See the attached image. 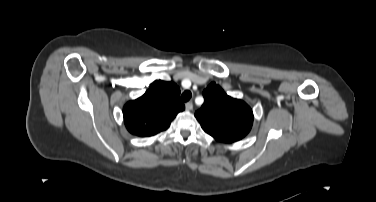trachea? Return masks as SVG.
Masks as SVG:
<instances>
[{"label": "trachea", "mask_w": 376, "mask_h": 202, "mask_svg": "<svg viewBox=\"0 0 376 202\" xmlns=\"http://www.w3.org/2000/svg\"><path fill=\"white\" fill-rule=\"evenodd\" d=\"M192 97V93L190 91H184L181 95V100L183 102H187L190 100V98Z\"/></svg>", "instance_id": "3493384b"}]
</instances>
